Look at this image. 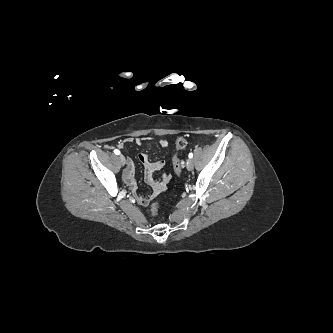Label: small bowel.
<instances>
[{
    "label": "small bowel",
    "instance_id": "small-bowel-1",
    "mask_svg": "<svg viewBox=\"0 0 333 333\" xmlns=\"http://www.w3.org/2000/svg\"><path fill=\"white\" fill-rule=\"evenodd\" d=\"M147 140L146 137H127L125 139V142H135L137 145H142ZM159 144L161 147H167L168 141L166 139H160ZM119 148L123 147V143L118 144ZM138 160L143 164L145 169V180L148 183V185L151 187V194L147 196H136V200L138 204L141 206H147L153 198H155L158 194L165 191L167 188V185L170 180V175L165 174L160 179H156L154 177V173L156 171L161 170L164 167V161H150L148 159V156L146 154H138L137 156ZM134 162L131 159L127 160V167L125 169L123 179L125 183L131 188V190L135 193L137 190L136 182L134 179Z\"/></svg>",
    "mask_w": 333,
    "mask_h": 333
}]
</instances>
